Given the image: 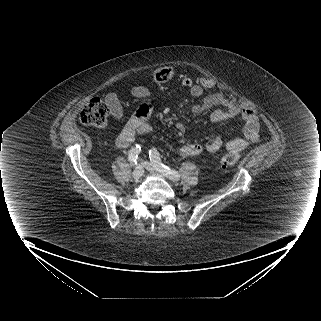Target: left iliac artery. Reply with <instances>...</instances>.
Returning a JSON list of instances; mask_svg holds the SVG:
<instances>
[{
    "instance_id": "left-iliac-artery-1",
    "label": "left iliac artery",
    "mask_w": 321,
    "mask_h": 321,
    "mask_svg": "<svg viewBox=\"0 0 321 321\" xmlns=\"http://www.w3.org/2000/svg\"><path fill=\"white\" fill-rule=\"evenodd\" d=\"M149 157L157 170L164 173L169 179L172 181H178L180 179V174L177 171L170 169L161 162L160 154L156 149L153 148L149 151Z\"/></svg>"
}]
</instances>
